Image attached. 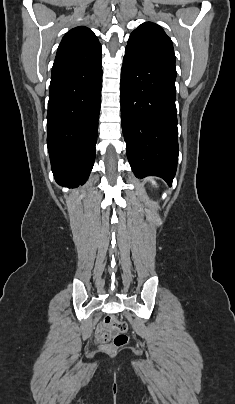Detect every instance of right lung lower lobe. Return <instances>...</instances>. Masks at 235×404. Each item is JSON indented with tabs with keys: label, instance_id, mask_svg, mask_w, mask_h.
<instances>
[{
	"label": "right lung lower lobe",
	"instance_id": "1",
	"mask_svg": "<svg viewBox=\"0 0 235 404\" xmlns=\"http://www.w3.org/2000/svg\"><path fill=\"white\" fill-rule=\"evenodd\" d=\"M101 88V58L52 69L47 145L51 169L60 185H82L92 170Z\"/></svg>",
	"mask_w": 235,
	"mask_h": 404
}]
</instances>
